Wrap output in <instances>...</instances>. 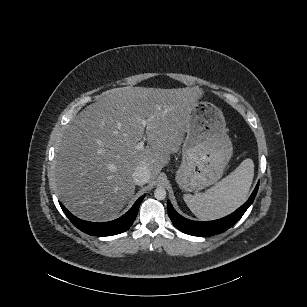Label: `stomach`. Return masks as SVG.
<instances>
[{"label": "stomach", "mask_w": 307, "mask_h": 307, "mask_svg": "<svg viewBox=\"0 0 307 307\" xmlns=\"http://www.w3.org/2000/svg\"><path fill=\"white\" fill-rule=\"evenodd\" d=\"M182 164L176 182L185 191L215 184L233 155L222 111L210 102H196L189 112Z\"/></svg>", "instance_id": "0dacf381"}]
</instances>
